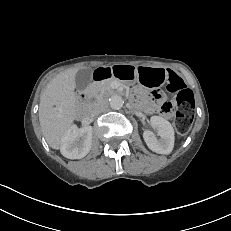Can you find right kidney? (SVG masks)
Instances as JSON below:
<instances>
[{
  "label": "right kidney",
  "instance_id": "right-kidney-1",
  "mask_svg": "<svg viewBox=\"0 0 231 231\" xmlns=\"http://www.w3.org/2000/svg\"><path fill=\"white\" fill-rule=\"evenodd\" d=\"M91 145L92 127L86 126L78 129L73 125L63 136L60 151L68 159H81L89 153Z\"/></svg>",
  "mask_w": 231,
  "mask_h": 231
}]
</instances>
